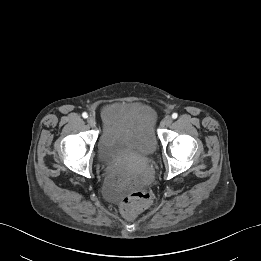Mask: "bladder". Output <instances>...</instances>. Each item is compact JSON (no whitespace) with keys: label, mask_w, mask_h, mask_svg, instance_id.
Wrapping results in <instances>:
<instances>
[{"label":"bladder","mask_w":261,"mask_h":261,"mask_svg":"<svg viewBox=\"0 0 261 261\" xmlns=\"http://www.w3.org/2000/svg\"><path fill=\"white\" fill-rule=\"evenodd\" d=\"M99 150L108 159L126 162L134 156H151L157 148V141L148 128H128L113 134L104 133L99 140Z\"/></svg>","instance_id":"bladder-1"}]
</instances>
